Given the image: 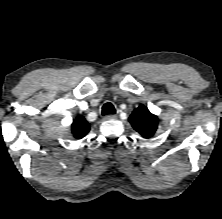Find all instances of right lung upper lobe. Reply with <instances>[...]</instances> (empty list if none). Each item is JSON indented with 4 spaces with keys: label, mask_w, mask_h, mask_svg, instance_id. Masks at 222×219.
<instances>
[{
    "label": "right lung upper lobe",
    "mask_w": 222,
    "mask_h": 219,
    "mask_svg": "<svg viewBox=\"0 0 222 219\" xmlns=\"http://www.w3.org/2000/svg\"><path fill=\"white\" fill-rule=\"evenodd\" d=\"M72 134L76 139L83 138L90 130V124L83 116H78L71 125Z\"/></svg>",
    "instance_id": "cb5924a9"
}]
</instances>
